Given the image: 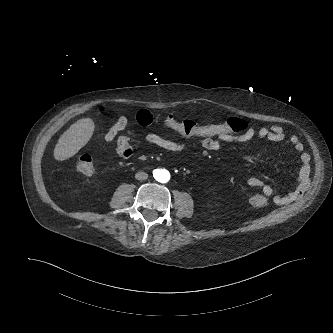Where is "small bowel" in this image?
Listing matches in <instances>:
<instances>
[{"label": "small bowel", "mask_w": 333, "mask_h": 333, "mask_svg": "<svg viewBox=\"0 0 333 333\" xmlns=\"http://www.w3.org/2000/svg\"><path fill=\"white\" fill-rule=\"evenodd\" d=\"M136 119L142 125H150L154 121V114L150 110H142L137 114ZM179 134L182 135L181 133ZM255 136L262 140L268 139L276 142L284 141L286 139L284 128L280 125L272 124L267 127H260L257 130L253 127H247L246 131L243 133L233 132L229 135L200 137L201 141L199 146L207 151H217L221 148L223 143H245ZM132 137L133 132L127 128V119L122 116L107 133H102L100 135V142L102 144H110L116 139L117 154L127 158L133 153V147L130 143ZM144 139L147 143L169 152L180 153L188 148L185 143L177 140V135L170 133H148L145 135ZM289 141L295 151L299 154L300 161V178L295 190L277 195L274 187L257 177H249L246 180L249 187L259 189L264 196L274 197L277 204H287L298 200L304 191L310 171V155L304 151L303 143L296 135H292L289 138Z\"/></svg>", "instance_id": "small-bowel-1"}]
</instances>
